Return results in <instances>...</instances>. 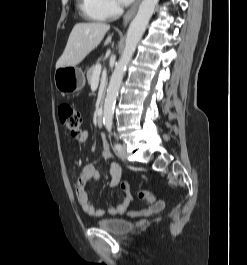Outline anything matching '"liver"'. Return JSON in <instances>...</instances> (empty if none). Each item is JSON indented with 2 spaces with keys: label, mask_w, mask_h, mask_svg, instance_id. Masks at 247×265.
Listing matches in <instances>:
<instances>
[{
  "label": "liver",
  "mask_w": 247,
  "mask_h": 265,
  "mask_svg": "<svg viewBox=\"0 0 247 265\" xmlns=\"http://www.w3.org/2000/svg\"><path fill=\"white\" fill-rule=\"evenodd\" d=\"M110 26L105 23H77L68 38L67 45L56 63L60 67L76 66L102 41ZM109 36L105 45L111 41Z\"/></svg>",
  "instance_id": "1"
}]
</instances>
